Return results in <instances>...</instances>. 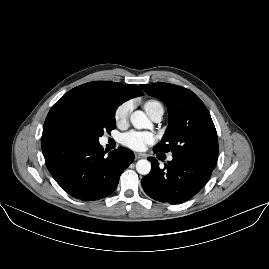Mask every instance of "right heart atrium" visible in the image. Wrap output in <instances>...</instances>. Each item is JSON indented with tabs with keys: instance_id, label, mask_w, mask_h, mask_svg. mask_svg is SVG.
<instances>
[{
	"instance_id": "obj_1",
	"label": "right heart atrium",
	"mask_w": 269,
	"mask_h": 269,
	"mask_svg": "<svg viewBox=\"0 0 269 269\" xmlns=\"http://www.w3.org/2000/svg\"><path fill=\"white\" fill-rule=\"evenodd\" d=\"M132 111V103L130 101L120 104L114 112V120L117 125H120L128 119Z\"/></svg>"
}]
</instances>
